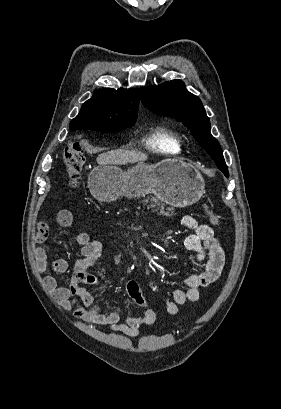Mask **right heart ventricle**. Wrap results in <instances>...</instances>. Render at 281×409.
<instances>
[{"mask_svg": "<svg viewBox=\"0 0 281 409\" xmlns=\"http://www.w3.org/2000/svg\"><path fill=\"white\" fill-rule=\"evenodd\" d=\"M155 148L165 154L176 155L182 151V140L179 134L166 129L158 128L154 134Z\"/></svg>", "mask_w": 281, "mask_h": 409, "instance_id": "right-heart-ventricle-1", "label": "right heart ventricle"}]
</instances>
